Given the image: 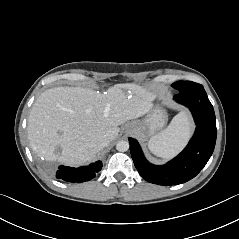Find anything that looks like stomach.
<instances>
[{
  "label": "stomach",
  "mask_w": 239,
  "mask_h": 239,
  "mask_svg": "<svg viewBox=\"0 0 239 239\" xmlns=\"http://www.w3.org/2000/svg\"><path fill=\"white\" fill-rule=\"evenodd\" d=\"M167 114L160 107L150 111L141 120H135L129 125L134 126V133L147 138L156 135L167 123Z\"/></svg>",
  "instance_id": "0dacf381"
}]
</instances>
